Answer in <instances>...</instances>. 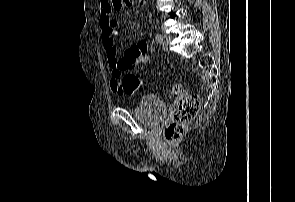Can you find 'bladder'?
I'll list each match as a JSON object with an SVG mask.
<instances>
[{
  "label": "bladder",
  "mask_w": 295,
  "mask_h": 202,
  "mask_svg": "<svg viewBox=\"0 0 295 202\" xmlns=\"http://www.w3.org/2000/svg\"><path fill=\"white\" fill-rule=\"evenodd\" d=\"M135 118L148 126L162 122L167 114V105L155 95L143 96L133 109Z\"/></svg>",
  "instance_id": "1"
}]
</instances>
